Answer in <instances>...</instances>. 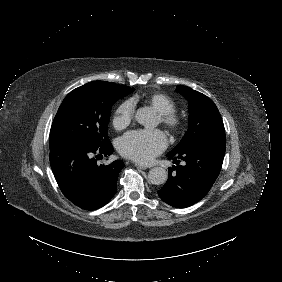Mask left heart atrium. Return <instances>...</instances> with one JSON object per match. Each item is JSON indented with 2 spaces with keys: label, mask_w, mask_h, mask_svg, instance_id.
<instances>
[{
  "label": "left heart atrium",
  "mask_w": 282,
  "mask_h": 282,
  "mask_svg": "<svg viewBox=\"0 0 282 282\" xmlns=\"http://www.w3.org/2000/svg\"><path fill=\"white\" fill-rule=\"evenodd\" d=\"M166 146L164 135L158 131H132L119 140L120 152L139 163H148Z\"/></svg>",
  "instance_id": "left-heart-atrium-1"
}]
</instances>
